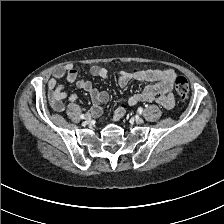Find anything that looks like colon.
Returning <instances> with one entry per match:
<instances>
[{
	"instance_id": "colon-1",
	"label": "colon",
	"mask_w": 224,
	"mask_h": 224,
	"mask_svg": "<svg viewBox=\"0 0 224 224\" xmlns=\"http://www.w3.org/2000/svg\"><path fill=\"white\" fill-rule=\"evenodd\" d=\"M174 89L181 98H186L189 94L188 80L183 76H178L174 80Z\"/></svg>"
}]
</instances>
